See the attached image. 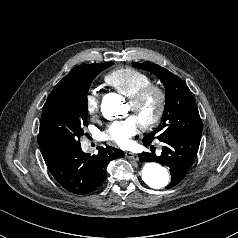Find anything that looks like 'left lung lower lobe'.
<instances>
[{
  "instance_id": "1",
  "label": "left lung lower lobe",
  "mask_w": 238,
  "mask_h": 238,
  "mask_svg": "<svg viewBox=\"0 0 238 238\" xmlns=\"http://www.w3.org/2000/svg\"><path fill=\"white\" fill-rule=\"evenodd\" d=\"M200 138L191 135L171 136L160 141L163 143L162 153L156 156L155 152H144L139 155L140 161L159 162L167 166L171 173V182L166 188H172L183 180L189 172L200 145ZM145 145L151 142L143 139Z\"/></svg>"
}]
</instances>
